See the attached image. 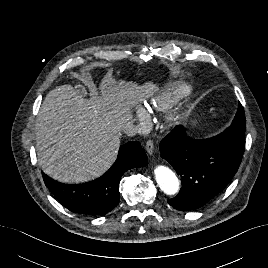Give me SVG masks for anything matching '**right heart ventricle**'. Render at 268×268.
Segmentation results:
<instances>
[{
  "instance_id": "obj_1",
  "label": "right heart ventricle",
  "mask_w": 268,
  "mask_h": 268,
  "mask_svg": "<svg viewBox=\"0 0 268 268\" xmlns=\"http://www.w3.org/2000/svg\"><path fill=\"white\" fill-rule=\"evenodd\" d=\"M186 90V85H179L173 91L155 93L153 97L149 100V110L165 111L171 108Z\"/></svg>"
}]
</instances>
